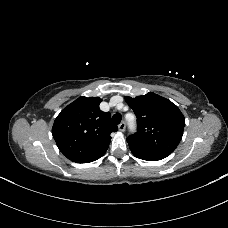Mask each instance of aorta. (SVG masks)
<instances>
[{"instance_id": "aorta-1", "label": "aorta", "mask_w": 228, "mask_h": 228, "mask_svg": "<svg viewBox=\"0 0 228 228\" xmlns=\"http://www.w3.org/2000/svg\"><path fill=\"white\" fill-rule=\"evenodd\" d=\"M130 127H131V128H134L133 124H130Z\"/></svg>"}]
</instances>
